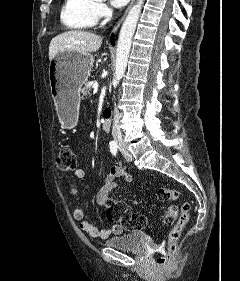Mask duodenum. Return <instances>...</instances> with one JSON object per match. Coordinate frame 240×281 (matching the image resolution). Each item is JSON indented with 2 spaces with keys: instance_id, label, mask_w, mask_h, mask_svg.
<instances>
[{
  "instance_id": "duodenum-1",
  "label": "duodenum",
  "mask_w": 240,
  "mask_h": 281,
  "mask_svg": "<svg viewBox=\"0 0 240 281\" xmlns=\"http://www.w3.org/2000/svg\"><path fill=\"white\" fill-rule=\"evenodd\" d=\"M101 125L104 131L109 132L111 129V111L105 109L101 119Z\"/></svg>"
}]
</instances>
